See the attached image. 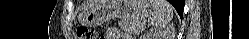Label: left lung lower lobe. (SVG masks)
Returning a JSON list of instances; mask_svg holds the SVG:
<instances>
[{
	"label": "left lung lower lobe",
	"mask_w": 249,
	"mask_h": 39,
	"mask_svg": "<svg viewBox=\"0 0 249 39\" xmlns=\"http://www.w3.org/2000/svg\"><path fill=\"white\" fill-rule=\"evenodd\" d=\"M169 2L174 6L179 16L182 18L183 9H184V0H169Z\"/></svg>",
	"instance_id": "left-lung-lower-lobe-1"
}]
</instances>
